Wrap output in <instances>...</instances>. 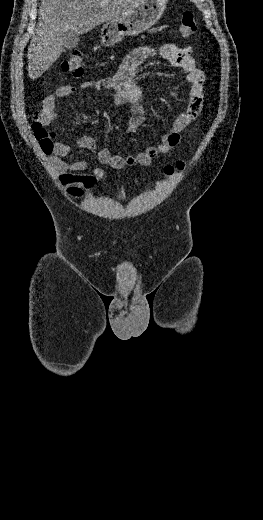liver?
<instances>
[{
  "label": "liver",
  "mask_w": 263,
  "mask_h": 520,
  "mask_svg": "<svg viewBox=\"0 0 263 520\" xmlns=\"http://www.w3.org/2000/svg\"><path fill=\"white\" fill-rule=\"evenodd\" d=\"M144 0H42L38 26L28 47V76L40 77L63 52V35L85 34Z\"/></svg>",
  "instance_id": "6515ba94"
}]
</instances>
